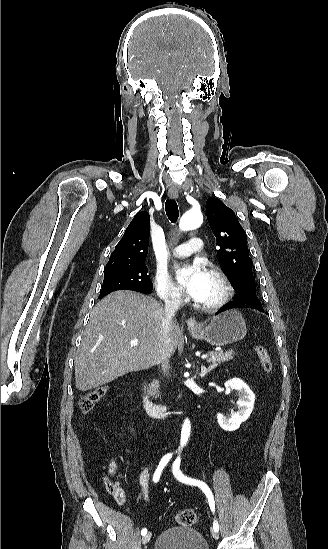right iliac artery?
Returning <instances> with one entry per match:
<instances>
[{
    "instance_id": "right-iliac-artery-1",
    "label": "right iliac artery",
    "mask_w": 328,
    "mask_h": 549,
    "mask_svg": "<svg viewBox=\"0 0 328 549\" xmlns=\"http://www.w3.org/2000/svg\"><path fill=\"white\" fill-rule=\"evenodd\" d=\"M172 457V454L169 453V454H166L160 461L159 463V466L156 470V472L154 473L153 475V481L154 482H158L159 479H160V475H161V472L163 470V468L166 466V464L169 462V460L171 459ZM147 533V529L146 528H143L142 531H141V535H145Z\"/></svg>"
}]
</instances>
